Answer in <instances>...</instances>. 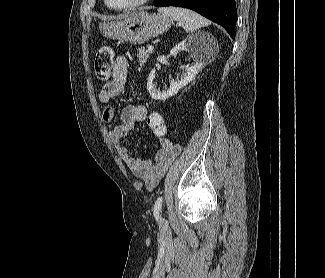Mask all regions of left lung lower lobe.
Here are the masks:
<instances>
[{"label": "left lung lower lobe", "instance_id": "obj_1", "mask_svg": "<svg viewBox=\"0 0 325 278\" xmlns=\"http://www.w3.org/2000/svg\"><path fill=\"white\" fill-rule=\"evenodd\" d=\"M154 6H177L192 9L223 26L235 38L237 10L235 0H155Z\"/></svg>", "mask_w": 325, "mask_h": 278}]
</instances>
